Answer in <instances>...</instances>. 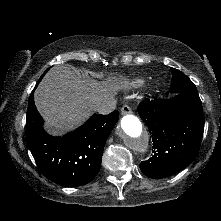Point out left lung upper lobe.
<instances>
[{
    "mask_svg": "<svg viewBox=\"0 0 221 221\" xmlns=\"http://www.w3.org/2000/svg\"><path fill=\"white\" fill-rule=\"evenodd\" d=\"M171 72L172 82L169 90L171 94L196 90L194 83L183 72L174 68H171Z\"/></svg>",
    "mask_w": 221,
    "mask_h": 221,
    "instance_id": "5c2ea615",
    "label": "left lung upper lobe"
}]
</instances>
